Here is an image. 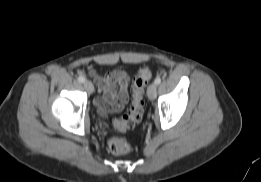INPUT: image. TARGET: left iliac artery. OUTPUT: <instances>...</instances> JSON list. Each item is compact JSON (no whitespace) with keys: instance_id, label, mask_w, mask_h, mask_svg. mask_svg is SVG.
Wrapping results in <instances>:
<instances>
[{"instance_id":"obj_1","label":"left iliac artery","mask_w":261,"mask_h":182,"mask_svg":"<svg viewBox=\"0 0 261 182\" xmlns=\"http://www.w3.org/2000/svg\"><path fill=\"white\" fill-rule=\"evenodd\" d=\"M154 83H155L156 85H159V84L161 83V78H160V77H156Z\"/></svg>"}]
</instances>
